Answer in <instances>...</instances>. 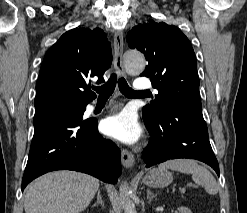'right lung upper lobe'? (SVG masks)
<instances>
[{"instance_id":"obj_1","label":"right lung upper lobe","mask_w":247,"mask_h":213,"mask_svg":"<svg viewBox=\"0 0 247 213\" xmlns=\"http://www.w3.org/2000/svg\"><path fill=\"white\" fill-rule=\"evenodd\" d=\"M112 52L103 30L75 28L64 33L47 51L36 85L35 109L50 101L71 100L87 104L96 98L91 80L104 82Z\"/></svg>"}]
</instances>
